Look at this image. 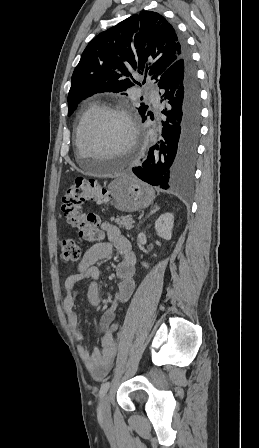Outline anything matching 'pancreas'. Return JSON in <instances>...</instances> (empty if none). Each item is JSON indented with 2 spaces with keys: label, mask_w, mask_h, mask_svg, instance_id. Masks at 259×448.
Wrapping results in <instances>:
<instances>
[{
  "label": "pancreas",
  "mask_w": 259,
  "mask_h": 448,
  "mask_svg": "<svg viewBox=\"0 0 259 448\" xmlns=\"http://www.w3.org/2000/svg\"><path fill=\"white\" fill-rule=\"evenodd\" d=\"M112 220H114V218H112ZM115 222L119 228H126V230L134 228V226H132V224H134L132 216H121V218L120 216H116Z\"/></svg>",
  "instance_id": "1"
}]
</instances>
